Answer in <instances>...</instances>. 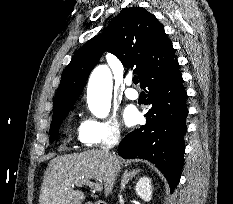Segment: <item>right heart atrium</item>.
<instances>
[{"label": "right heart atrium", "mask_w": 233, "mask_h": 204, "mask_svg": "<svg viewBox=\"0 0 233 204\" xmlns=\"http://www.w3.org/2000/svg\"><path fill=\"white\" fill-rule=\"evenodd\" d=\"M121 135V127L114 117H87L79 127L78 139L81 145L92 148L115 143L120 140Z\"/></svg>", "instance_id": "d8ad5b80"}]
</instances>
